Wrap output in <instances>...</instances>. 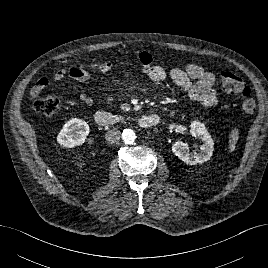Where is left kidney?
Masks as SVG:
<instances>
[{"label": "left kidney", "mask_w": 268, "mask_h": 268, "mask_svg": "<svg viewBox=\"0 0 268 268\" xmlns=\"http://www.w3.org/2000/svg\"><path fill=\"white\" fill-rule=\"evenodd\" d=\"M190 133L202 141L200 152H190L188 144L182 141L174 143L172 151L179 159L189 165L202 164L208 161L214 151V142L205 125L199 121H193L190 125Z\"/></svg>", "instance_id": "left-kidney-1"}]
</instances>
